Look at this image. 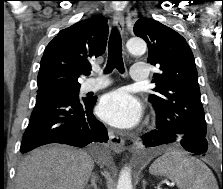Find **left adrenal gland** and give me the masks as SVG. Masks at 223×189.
<instances>
[{
	"label": "left adrenal gland",
	"mask_w": 223,
	"mask_h": 189,
	"mask_svg": "<svg viewBox=\"0 0 223 189\" xmlns=\"http://www.w3.org/2000/svg\"><path fill=\"white\" fill-rule=\"evenodd\" d=\"M147 182L143 181V189H145Z\"/></svg>",
	"instance_id": "1"
}]
</instances>
